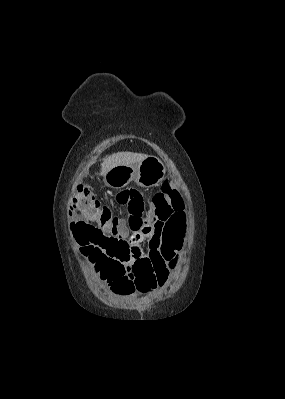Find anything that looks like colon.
<instances>
[{"mask_svg":"<svg viewBox=\"0 0 285 399\" xmlns=\"http://www.w3.org/2000/svg\"><path fill=\"white\" fill-rule=\"evenodd\" d=\"M127 210L124 223L132 233H138L146 222L147 211H155L159 221L156 228L164 234V250H152L149 257H141L128 236L119 235L120 218L112 213L109 203L96 200L93 191L83 185L76 187L71 208L81 218L71 223L76 241L92 261L105 262L109 269L102 278L114 292L128 295L154 289L157 282L174 268V259L184 241V234L173 226L182 220L183 203L169 182L161 192L145 200L138 191H124L117 197ZM128 266L130 278L115 280Z\"/></svg>","mask_w":285,"mask_h":399,"instance_id":"5ec220e1","label":"colon"}]
</instances>
